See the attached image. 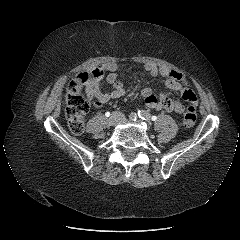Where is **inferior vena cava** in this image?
<instances>
[{
	"instance_id": "602c4592",
	"label": "inferior vena cava",
	"mask_w": 240,
	"mask_h": 240,
	"mask_svg": "<svg viewBox=\"0 0 240 240\" xmlns=\"http://www.w3.org/2000/svg\"><path fill=\"white\" fill-rule=\"evenodd\" d=\"M117 115L121 117L122 121H125V116L122 113L117 112Z\"/></svg>"
}]
</instances>
